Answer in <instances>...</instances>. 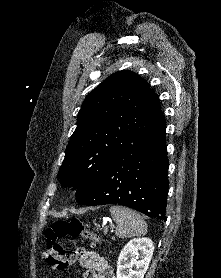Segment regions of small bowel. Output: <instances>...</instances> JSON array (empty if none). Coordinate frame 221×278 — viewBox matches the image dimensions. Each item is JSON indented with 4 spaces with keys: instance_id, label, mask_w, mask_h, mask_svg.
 Listing matches in <instances>:
<instances>
[{
    "instance_id": "obj_1",
    "label": "small bowel",
    "mask_w": 221,
    "mask_h": 278,
    "mask_svg": "<svg viewBox=\"0 0 221 278\" xmlns=\"http://www.w3.org/2000/svg\"><path fill=\"white\" fill-rule=\"evenodd\" d=\"M80 263L87 271L84 278H115L112 267L95 252H81Z\"/></svg>"
}]
</instances>
